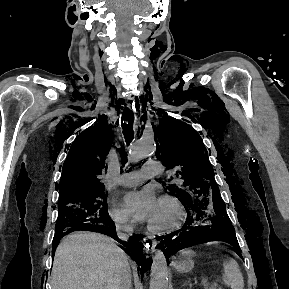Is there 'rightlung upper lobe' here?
I'll use <instances>...</instances> for the list:
<instances>
[{"label":"right lung upper lobe","instance_id":"cb5924a9","mask_svg":"<svg viewBox=\"0 0 289 289\" xmlns=\"http://www.w3.org/2000/svg\"><path fill=\"white\" fill-rule=\"evenodd\" d=\"M110 127L106 117H101L76 138L63 164L61 181L56 185L60 197L104 188L101 175L107 170L106 158L113 140Z\"/></svg>","mask_w":289,"mask_h":289}]
</instances>
